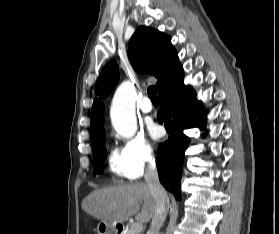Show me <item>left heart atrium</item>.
I'll return each mask as SVG.
<instances>
[{"label":"left heart atrium","mask_w":279,"mask_h":234,"mask_svg":"<svg viewBox=\"0 0 279 234\" xmlns=\"http://www.w3.org/2000/svg\"><path fill=\"white\" fill-rule=\"evenodd\" d=\"M148 132L150 134V136L153 138V139H157L161 136L162 132H161V128L154 124V123H149L148 126Z\"/></svg>","instance_id":"obj_1"}]
</instances>
